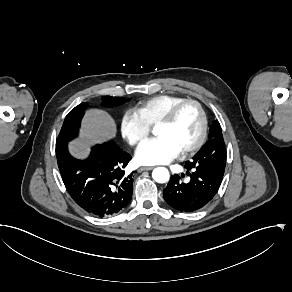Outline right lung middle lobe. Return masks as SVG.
<instances>
[{
	"instance_id": "dd1d6c3e",
	"label": "right lung middle lobe",
	"mask_w": 292,
	"mask_h": 292,
	"mask_svg": "<svg viewBox=\"0 0 292 292\" xmlns=\"http://www.w3.org/2000/svg\"><path fill=\"white\" fill-rule=\"evenodd\" d=\"M125 101L127 100L121 97H102V105L107 107H116L122 105ZM87 107L88 104L81 103L67 114L57 138L56 145L69 142L78 135L81 119Z\"/></svg>"
}]
</instances>
